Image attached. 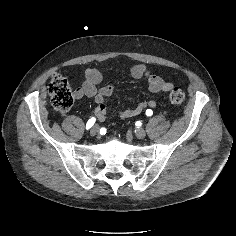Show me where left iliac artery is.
<instances>
[{"instance_id": "left-iliac-artery-1", "label": "left iliac artery", "mask_w": 236, "mask_h": 236, "mask_svg": "<svg viewBox=\"0 0 236 236\" xmlns=\"http://www.w3.org/2000/svg\"><path fill=\"white\" fill-rule=\"evenodd\" d=\"M147 116H151L153 114V111L148 109L146 110V113H145Z\"/></svg>"}]
</instances>
